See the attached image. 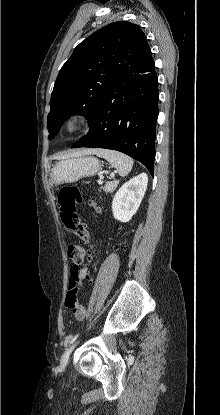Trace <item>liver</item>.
I'll return each instance as SVG.
<instances>
[{
	"mask_svg": "<svg viewBox=\"0 0 220 415\" xmlns=\"http://www.w3.org/2000/svg\"><path fill=\"white\" fill-rule=\"evenodd\" d=\"M96 150H87V151H85L84 153H92V152H95Z\"/></svg>",
	"mask_w": 220,
	"mask_h": 415,
	"instance_id": "6515ba94",
	"label": "liver"
}]
</instances>
